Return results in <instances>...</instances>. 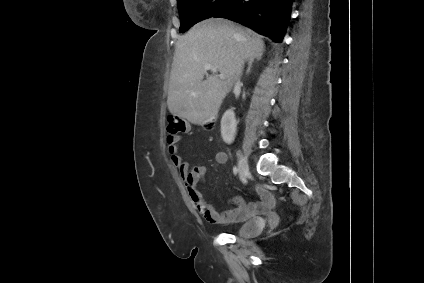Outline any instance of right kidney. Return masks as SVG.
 <instances>
[{"instance_id": "right-kidney-1", "label": "right kidney", "mask_w": 424, "mask_h": 283, "mask_svg": "<svg viewBox=\"0 0 424 283\" xmlns=\"http://www.w3.org/2000/svg\"><path fill=\"white\" fill-rule=\"evenodd\" d=\"M237 130L235 114L231 109L225 111L221 119V136L223 141L231 144L234 141Z\"/></svg>"}]
</instances>
